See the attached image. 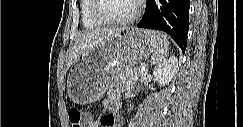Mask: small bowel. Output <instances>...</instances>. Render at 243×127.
<instances>
[{
	"label": "small bowel",
	"mask_w": 243,
	"mask_h": 127,
	"mask_svg": "<svg viewBox=\"0 0 243 127\" xmlns=\"http://www.w3.org/2000/svg\"><path fill=\"white\" fill-rule=\"evenodd\" d=\"M105 106L109 109H116L119 106V100L115 93H111L105 100ZM121 125L120 118L108 114L101 117L100 120H94L90 114L86 115V126L87 127H119Z\"/></svg>",
	"instance_id": "1"
}]
</instances>
